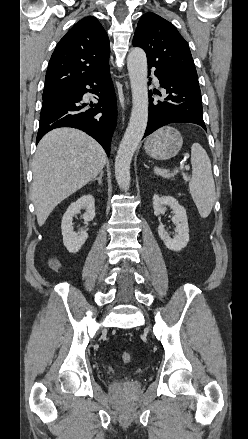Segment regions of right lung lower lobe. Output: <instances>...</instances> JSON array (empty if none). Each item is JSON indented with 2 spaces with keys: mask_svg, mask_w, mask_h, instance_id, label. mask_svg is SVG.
Here are the masks:
<instances>
[{
  "mask_svg": "<svg viewBox=\"0 0 248 439\" xmlns=\"http://www.w3.org/2000/svg\"><path fill=\"white\" fill-rule=\"evenodd\" d=\"M87 92L95 94L98 103H85L83 95ZM116 108L108 67L67 90L43 99L36 143L52 129L73 127L96 139L109 156Z\"/></svg>",
  "mask_w": 248,
  "mask_h": 439,
  "instance_id": "1",
  "label": "right lung lower lobe"
}]
</instances>
